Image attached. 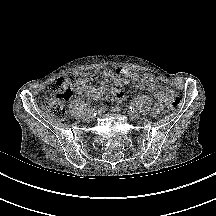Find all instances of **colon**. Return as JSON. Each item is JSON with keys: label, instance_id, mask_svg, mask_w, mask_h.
<instances>
[{"label": "colon", "instance_id": "5ec220e1", "mask_svg": "<svg viewBox=\"0 0 216 216\" xmlns=\"http://www.w3.org/2000/svg\"><path fill=\"white\" fill-rule=\"evenodd\" d=\"M90 80V75L70 72L58 78L52 85L53 95L47 97L42 106L54 118L64 119L66 116V103L73 94V88ZM167 103L169 108L177 109L181 104L180 98L173 91L168 90Z\"/></svg>", "mask_w": 216, "mask_h": 216}]
</instances>
